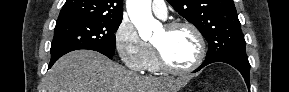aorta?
<instances>
[{"instance_id":"obj_1","label":"aorta","mask_w":289,"mask_h":92,"mask_svg":"<svg viewBox=\"0 0 289 92\" xmlns=\"http://www.w3.org/2000/svg\"><path fill=\"white\" fill-rule=\"evenodd\" d=\"M127 12L143 40L152 36L153 30L160 26L151 12V0H127Z\"/></svg>"}]
</instances>
